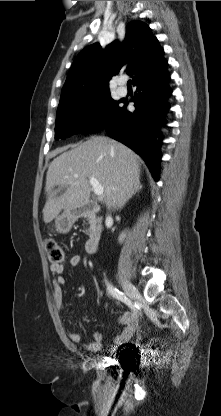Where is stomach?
I'll return each mask as SVG.
<instances>
[{
  "instance_id": "1",
  "label": "stomach",
  "mask_w": 221,
  "mask_h": 416,
  "mask_svg": "<svg viewBox=\"0 0 221 416\" xmlns=\"http://www.w3.org/2000/svg\"><path fill=\"white\" fill-rule=\"evenodd\" d=\"M77 216L66 210L61 215L57 216L55 219V228L58 233L66 234L68 233L73 223L75 222Z\"/></svg>"
}]
</instances>
